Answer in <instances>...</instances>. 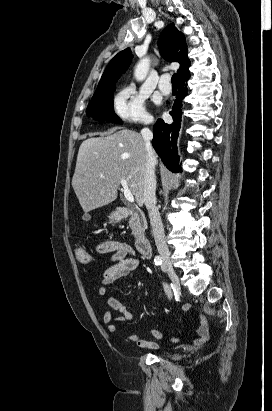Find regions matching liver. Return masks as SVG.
I'll use <instances>...</instances> for the list:
<instances>
[{
  "label": "liver",
  "instance_id": "1",
  "mask_svg": "<svg viewBox=\"0 0 272 411\" xmlns=\"http://www.w3.org/2000/svg\"><path fill=\"white\" fill-rule=\"evenodd\" d=\"M156 164L157 155L153 151ZM146 147L143 137L128 129L91 137L80 145L72 187L85 213L113 202L125 179L138 205L143 204Z\"/></svg>",
  "mask_w": 272,
  "mask_h": 411
}]
</instances>
